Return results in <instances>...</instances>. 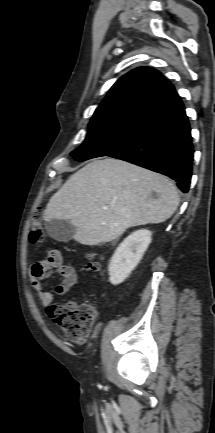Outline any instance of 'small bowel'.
<instances>
[{"mask_svg":"<svg viewBox=\"0 0 215 433\" xmlns=\"http://www.w3.org/2000/svg\"><path fill=\"white\" fill-rule=\"evenodd\" d=\"M53 272H57L61 276V281L53 289H46L44 279ZM28 274L30 282L44 306L51 304L54 293L65 295L78 282V274L71 262L65 261L61 252L55 249L48 250L44 259L34 261L29 267Z\"/></svg>","mask_w":215,"mask_h":433,"instance_id":"c3829d8e","label":"small bowel"}]
</instances>
